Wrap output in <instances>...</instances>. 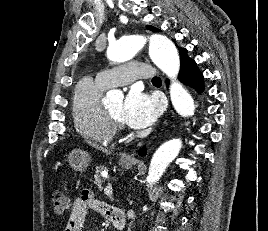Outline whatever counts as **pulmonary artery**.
Instances as JSON below:
<instances>
[{
	"label": "pulmonary artery",
	"mask_w": 268,
	"mask_h": 231,
	"mask_svg": "<svg viewBox=\"0 0 268 231\" xmlns=\"http://www.w3.org/2000/svg\"><path fill=\"white\" fill-rule=\"evenodd\" d=\"M154 77L156 76L151 66L141 61L119 67L117 71L105 70L97 75L98 81L107 87L118 84H129L137 78L152 80Z\"/></svg>",
	"instance_id": "obj_1"
}]
</instances>
